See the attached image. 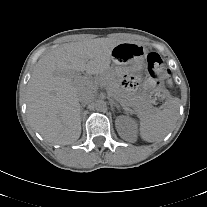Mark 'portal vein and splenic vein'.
<instances>
[{
	"instance_id": "18ae733b",
	"label": "portal vein and splenic vein",
	"mask_w": 207,
	"mask_h": 207,
	"mask_svg": "<svg viewBox=\"0 0 207 207\" xmlns=\"http://www.w3.org/2000/svg\"><path fill=\"white\" fill-rule=\"evenodd\" d=\"M83 77L82 76H77L76 80H81Z\"/></svg>"
}]
</instances>
